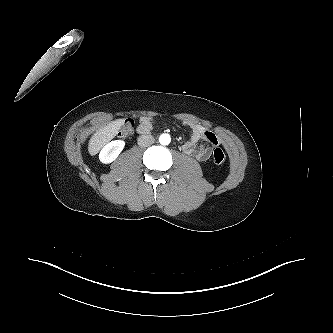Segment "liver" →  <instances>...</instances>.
I'll list each match as a JSON object with an SVG mask.
<instances>
[{
	"mask_svg": "<svg viewBox=\"0 0 333 333\" xmlns=\"http://www.w3.org/2000/svg\"><path fill=\"white\" fill-rule=\"evenodd\" d=\"M124 123V119H117L106 126L101 127L91 137L88 144V151L90 155H95L99 150L115 137L118 130Z\"/></svg>",
	"mask_w": 333,
	"mask_h": 333,
	"instance_id": "6515ba94",
	"label": "liver"
}]
</instances>
